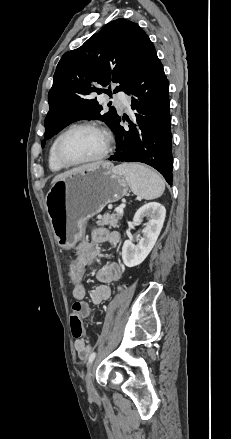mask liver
Listing matches in <instances>:
<instances>
[{
    "mask_svg": "<svg viewBox=\"0 0 231 439\" xmlns=\"http://www.w3.org/2000/svg\"><path fill=\"white\" fill-rule=\"evenodd\" d=\"M99 163H100V162H98V163H92V164H87V165H83V166H80V167L73 168V169H71V170H69V171H66V172H64V173H61V174H59V175H57V176L54 177V179L52 180V184H54L55 182H57V181H59V180L65 178V177H67V176H69V175H71V174H74V173H77V172H80V171H84V170L90 169V168L96 166V165L99 164Z\"/></svg>",
    "mask_w": 231,
    "mask_h": 439,
    "instance_id": "liver-1",
    "label": "liver"
}]
</instances>
